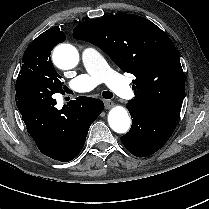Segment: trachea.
Masks as SVG:
<instances>
[{
  "label": "trachea",
  "instance_id": "3493384b",
  "mask_svg": "<svg viewBox=\"0 0 209 209\" xmlns=\"http://www.w3.org/2000/svg\"><path fill=\"white\" fill-rule=\"evenodd\" d=\"M102 96L105 98V99H111L113 97V93L110 92V91H103L102 92Z\"/></svg>",
  "mask_w": 209,
  "mask_h": 209
}]
</instances>
